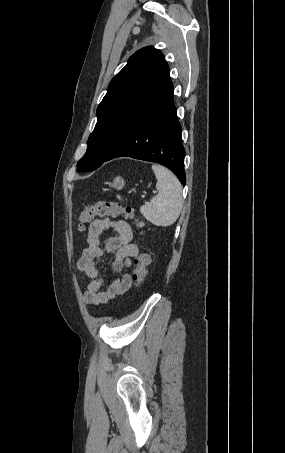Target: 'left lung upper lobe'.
Masks as SVG:
<instances>
[{
  "mask_svg": "<svg viewBox=\"0 0 285 453\" xmlns=\"http://www.w3.org/2000/svg\"><path fill=\"white\" fill-rule=\"evenodd\" d=\"M169 75L160 50L148 46L134 53L126 66L111 80L107 94L97 108V123L87 141V151L77 170L100 167L134 119L156 96Z\"/></svg>",
  "mask_w": 285,
  "mask_h": 453,
  "instance_id": "1",
  "label": "left lung upper lobe"
}]
</instances>
